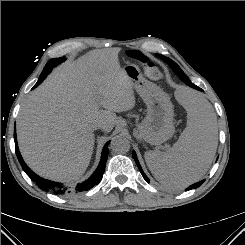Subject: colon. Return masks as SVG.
I'll return each instance as SVG.
<instances>
[{"label": "colon", "instance_id": "colon-1", "mask_svg": "<svg viewBox=\"0 0 245 245\" xmlns=\"http://www.w3.org/2000/svg\"><path fill=\"white\" fill-rule=\"evenodd\" d=\"M130 56L134 59L142 61L145 64V71L149 77L153 79L161 78L162 73L159 68L153 62L149 61L142 53L133 51L131 52Z\"/></svg>", "mask_w": 245, "mask_h": 245}]
</instances>
